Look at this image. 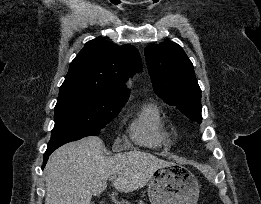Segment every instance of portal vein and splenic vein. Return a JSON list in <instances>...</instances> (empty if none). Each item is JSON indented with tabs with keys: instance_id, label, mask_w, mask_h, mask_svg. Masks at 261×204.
<instances>
[{
	"instance_id": "obj_1",
	"label": "portal vein and splenic vein",
	"mask_w": 261,
	"mask_h": 204,
	"mask_svg": "<svg viewBox=\"0 0 261 204\" xmlns=\"http://www.w3.org/2000/svg\"><path fill=\"white\" fill-rule=\"evenodd\" d=\"M116 178V176H111L110 178H109V180H114Z\"/></svg>"
}]
</instances>
